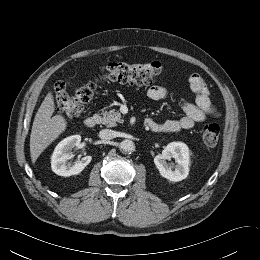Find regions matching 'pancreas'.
Returning a JSON list of instances; mask_svg holds the SVG:
<instances>
[{"label": "pancreas", "instance_id": "1", "mask_svg": "<svg viewBox=\"0 0 260 260\" xmlns=\"http://www.w3.org/2000/svg\"><path fill=\"white\" fill-rule=\"evenodd\" d=\"M99 116L98 123H101L107 127H114L117 123H123L124 120L122 119L121 113L116 110H102Z\"/></svg>", "mask_w": 260, "mask_h": 260}]
</instances>
